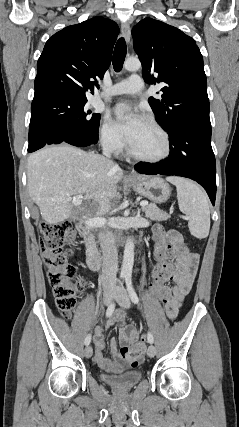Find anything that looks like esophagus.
Returning a JSON list of instances; mask_svg holds the SVG:
<instances>
[{"instance_id": "esophagus-1", "label": "esophagus", "mask_w": 239, "mask_h": 427, "mask_svg": "<svg viewBox=\"0 0 239 427\" xmlns=\"http://www.w3.org/2000/svg\"><path fill=\"white\" fill-rule=\"evenodd\" d=\"M121 30H122V34H123L126 42L129 43L130 42V34H131L129 23L128 22H123L121 24ZM127 178L128 179H134V176L131 175V174H129V175H127Z\"/></svg>"}]
</instances>
